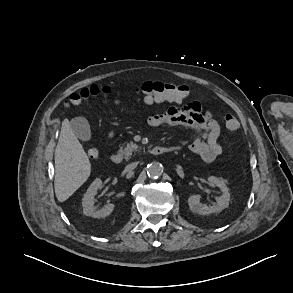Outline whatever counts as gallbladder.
<instances>
[{
    "instance_id": "1",
    "label": "gallbladder",
    "mask_w": 293,
    "mask_h": 293,
    "mask_svg": "<svg viewBox=\"0 0 293 293\" xmlns=\"http://www.w3.org/2000/svg\"><path fill=\"white\" fill-rule=\"evenodd\" d=\"M71 128L74 134L82 141L91 139L90 125L86 118L75 117L70 121Z\"/></svg>"
}]
</instances>
